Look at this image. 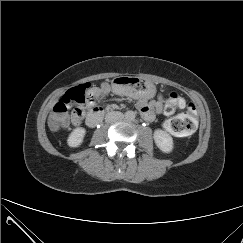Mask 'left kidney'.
<instances>
[{
  "instance_id": "obj_1",
  "label": "left kidney",
  "mask_w": 243,
  "mask_h": 243,
  "mask_svg": "<svg viewBox=\"0 0 243 243\" xmlns=\"http://www.w3.org/2000/svg\"><path fill=\"white\" fill-rule=\"evenodd\" d=\"M154 141L157 147L164 153H170L173 150V138L166 131L156 129L154 131Z\"/></svg>"
}]
</instances>
